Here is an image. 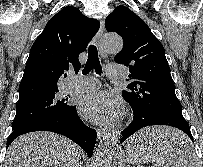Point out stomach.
Masks as SVG:
<instances>
[{
  "mask_svg": "<svg viewBox=\"0 0 203 167\" xmlns=\"http://www.w3.org/2000/svg\"><path fill=\"white\" fill-rule=\"evenodd\" d=\"M142 131L149 132L148 128ZM146 140H151V137H147ZM133 147L134 144L132 142L127 143L126 153L119 157V167H135V165L140 163V161H138L135 157V150Z\"/></svg>",
  "mask_w": 203,
  "mask_h": 167,
  "instance_id": "1",
  "label": "stomach"
}]
</instances>
